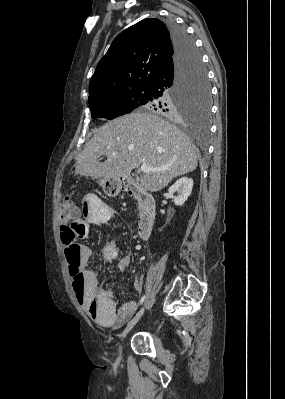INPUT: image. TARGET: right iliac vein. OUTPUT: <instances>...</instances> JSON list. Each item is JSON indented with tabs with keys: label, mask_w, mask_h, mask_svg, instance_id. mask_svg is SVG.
Wrapping results in <instances>:
<instances>
[{
	"label": "right iliac vein",
	"mask_w": 285,
	"mask_h": 399,
	"mask_svg": "<svg viewBox=\"0 0 285 399\" xmlns=\"http://www.w3.org/2000/svg\"><path fill=\"white\" fill-rule=\"evenodd\" d=\"M146 305H144L139 312L135 315V317L127 324V326L125 327V329L123 330L122 334H121V342L119 345V355L122 356V352H123V341L126 338L127 334L131 331V329L136 325V323L141 319V317L144 314Z\"/></svg>",
	"instance_id": "right-iliac-vein-1"
}]
</instances>
